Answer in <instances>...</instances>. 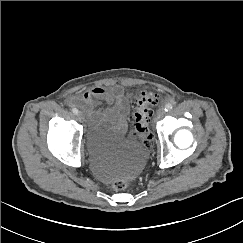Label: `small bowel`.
<instances>
[{
  "instance_id": "obj_1",
  "label": "small bowel",
  "mask_w": 243,
  "mask_h": 243,
  "mask_svg": "<svg viewBox=\"0 0 243 243\" xmlns=\"http://www.w3.org/2000/svg\"><path fill=\"white\" fill-rule=\"evenodd\" d=\"M69 102L81 107L95 119L113 117L122 130L127 128L130 94L120 85L93 86L83 93L71 96ZM101 103H105V106L98 108Z\"/></svg>"
}]
</instances>
